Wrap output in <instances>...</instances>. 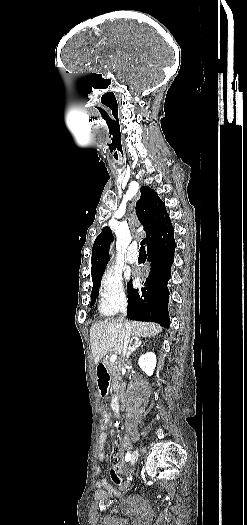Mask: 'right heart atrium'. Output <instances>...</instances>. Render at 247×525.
I'll list each match as a JSON object with an SVG mask.
<instances>
[{
  "mask_svg": "<svg viewBox=\"0 0 247 525\" xmlns=\"http://www.w3.org/2000/svg\"><path fill=\"white\" fill-rule=\"evenodd\" d=\"M126 303L122 275L114 266H108L99 282L98 310L102 315L110 316L120 313Z\"/></svg>",
  "mask_w": 247,
  "mask_h": 525,
  "instance_id": "1",
  "label": "right heart atrium"
}]
</instances>
